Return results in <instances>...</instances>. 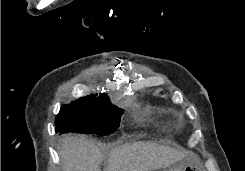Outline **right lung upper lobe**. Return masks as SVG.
Segmentation results:
<instances>
[{"instance_id":"right-lung-upper-lobe-1","label":"right lung upper lobe","mask_w":245,"mask_h":171,"mask_svg":"<svg viewBox=\"0 0 245 171\" xmlns=\"http://www.w3.org/2000/svg\"><path fill=\"white\" fill-rule=\"evenodd\" d=\"M95 100H109L107 95L104 94H100V96H97V94L93 95H88L85 97L80 98L79 100L75 101V102H79V101H95Z\"/></svg>"}]
</instances>
